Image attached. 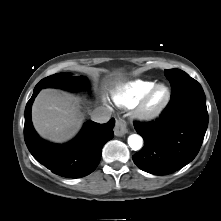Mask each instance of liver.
<instances>
[{"mask_svg": "<svg viewBox=\"0 0 221 221\" xmlns=\"http://www.w3.org/2000/svg\"><path fill=\"white\" fill-rule=\"evenodd\" d=\"M120 76L115 78L116 82ZM83 115L77 100L68 93L56 89H44L32 106V122L44 139L62 143L71 139L80 129Z\"/></svg>", "mask_w": 221, "mask_h": 221, "instance_id": "obj_1", "label": "liver"}]
</instances>
